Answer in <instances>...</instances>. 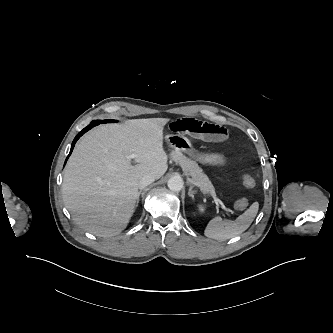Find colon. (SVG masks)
Instances as JSON below:
<instances>
[{"label":"colon","mask_w":333,"mask_h":333,"mask_svg":"<svg viewBox=\"0 0 333 333\" xmlns=\"http://www.w3.org/2000/svg\"><path fill=\"white\" fill-rule=\"evenodd\" d=\"M241 183L244 187L246 188H254L256 186V181L253 177L249 176V175H244L241 178ZM248 205V201L245 198H241L239 200L236 201L234 208L237 211H242L244 210Z\"/></svg>","instance_id":"1"}]
</instances>
